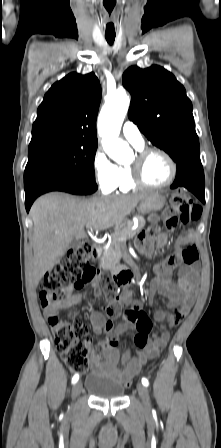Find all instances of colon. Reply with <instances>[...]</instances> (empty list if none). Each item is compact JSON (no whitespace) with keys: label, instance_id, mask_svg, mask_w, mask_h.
Instances as JSON below:
<instances>
[{"label":"colon","instance_id":"5ec220e1","mask_svg":"<svg viewBox=\"0 0 221 448\" xmlns=\"http://www.w3.org/2000/svg\"><path fill=\"white\" fill-rule=\"evenodd\" d=\"M171 204L173 211L178 216L171 217L167 221L169 229H175L179 225L185 226L199 217L200 208L185 194L180 193L173 196ZM180 259L184 264H195L199 259L196 246L193 244L186 246L180 254ZM98 278L99 272L90 262V247L86 244L80 245L45 273L40 287L41 304L45 310H49L52 306L67 299L73 291L93 283ZM106 292L109 296L113 293V285L110 282H107ZM112 302L115 307H118L115 298H112ZM127 317L136 325L134 344L141 349L146 347L152 330L149 316L143 310L129 309ZM47 318L55 336L57 349L64 362L72 371L86 373L89 369L88 346L91 343L87 326L75 318H60L58 311L50 310ZM181 318L182 314L177 311L173 315V324L178 325ZM109 327H111V323H109ZM132 383L131 379H127L124 385L129 388Z\"/></svg>","mask_w":221,"mask_h":448}]
</instances>
